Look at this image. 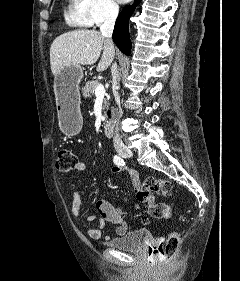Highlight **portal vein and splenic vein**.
<instances>
[{"label": "portal vein and splenic vein", "mask_w": 240, "mask_h": 281, "mask_svg": "<svg viewBox=\"0 0 240 281\" xmlns=\"http://www.w3.org/2000/svg\"><path fill=\"white\" fill-rule=\"evenodd\" d=\"M106 94L105 88L102 84H99L95 89V96L97 98H103Z\"/></svg>", "instance_id": "portal-vein-and-splenic-vein-1"}]
</instances>
